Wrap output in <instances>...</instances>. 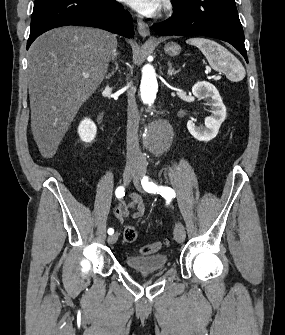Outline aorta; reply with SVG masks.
<instances>
[{"label":"aorta","mask_w":285,"mask_h":335,"mask_svg":"<svg viewBox=\"0 0 285 335\" xmlns=\"http://www.w3.org/2000/svg\"><path fill=\"white\" fill-rule=\"evenodd\" d=\"M136 97H141V102L150 107L155 102H164V95H159L155 70L150 64L142 68L140 90H136ZM141 137H144L146 152H167L174 130H170V125H145Z\"/></svg>","instance_id":"1"}]
</instances>
